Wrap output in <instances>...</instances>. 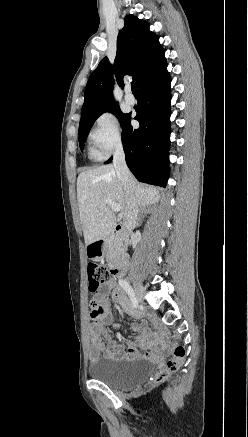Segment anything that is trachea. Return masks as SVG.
Listing matches in <instances>:
<instances>
[{"instance_id": "obj_1", "label": "trachea", "mask_w": 248, "mask_h": 437, "mask_svg": "<svg viewBox=\"0 0 248 437\" xmlns=\"http://www.w3.org/2000/svg\"><path fill=\"white\" fill-rule=\"evenodd\" d=\"M131 90H132L133 93H137V92H138V90H137V86H136V82H135V81H133V82L131 83Z\"/></svg>"}]
</instances>
